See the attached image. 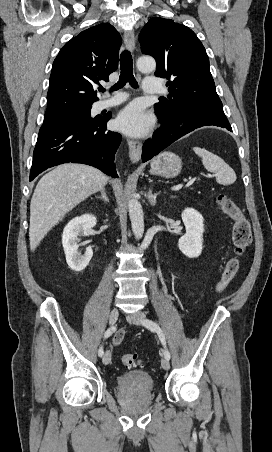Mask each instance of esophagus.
I'll use <instances>...</instances> for the list:
<instances>
[{
	"label": "esophagus",
	"instance_id": "esophagus-1",
	"mask_svg": "<svg viewBox=\"0 0 272 452\" xmlns=\"http://www.w3.org/2000/svg\"><path fill=\"white\" fill-rule=\"evenodd\" d=\"M124 41L128 49L130 51H134L135 37L132 30H126L124 32ZM127 142L129 146V157L133 163H137L141 158L142 144L138 140L131 139H129Z\"/></svg>",
	"mask_w": 272,
	"mask_h": 452
}]
</instances>
